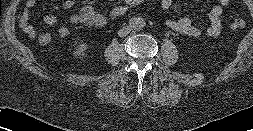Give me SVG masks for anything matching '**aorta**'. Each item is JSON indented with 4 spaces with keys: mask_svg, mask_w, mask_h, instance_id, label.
I'll list each match as a JSON object with an SVG mask.
<instances>
[{
    "mask_svg": "<svg viewBox=\"0 0 253 131\" xmlns=\"http://www.w3.org/2000/svg\"><path fill=\"white\" fill-rule=\"evenodd\" d=\"M145 26L144 19L141 17H135L132 21V28L140 30Z\"/></svg>",
    "mask_w": 253,
    "mask_h": 131,
    "instance_id": "aorta-1",
    "label": "aorta"
}]
</instances>
